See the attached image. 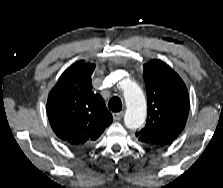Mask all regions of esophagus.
Masks as SVG:
<instances>
[{
	"label": "esophagus",
	"mask_w": 223,
	"mask_h": 188,
	"mask_svg": "<svg viewBox=\"0 0 223 188\" xmlns=\"http://www.w3.org/2000/svg\"><path fill=\"white\" fill-rule=\"evenodd\" d=\"M123 115H124V112H122V111L116 112V113H113V118H114V120L118 121V120L122 119Z\"/></svg>",
	"instance_id": "1"
}]
</instances>
